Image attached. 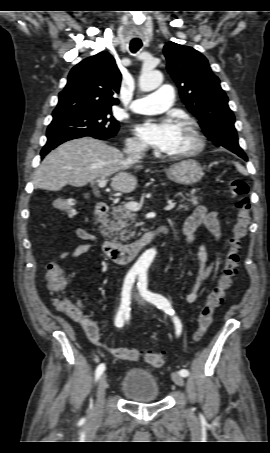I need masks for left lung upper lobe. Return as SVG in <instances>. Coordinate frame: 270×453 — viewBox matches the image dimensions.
<instances>
[{"mask_svg":"<svg viewBox=\"0 0 270 453\" xmlns=\"http://www.w3.org/2000/svg\"><path fill=\"white\" fill-rule=\"evenodd\" d=\"M164 55L167 70L176 82L184 104L200 120L205 135L215 146L230 151L240 148L235 117L208 60L197 50L174 42L164 46Z\"/></svg>","mask_w":270,"mask_h":453,"instance_id":"1","label":"left lung upper lobe"}]
</instances>
